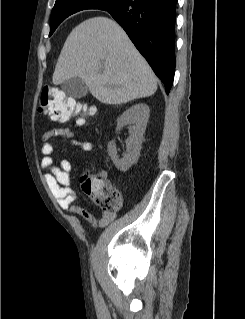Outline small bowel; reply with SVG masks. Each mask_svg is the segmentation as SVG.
<instances>
[{
    "mask_svg": "<svg viewBox=\"0 0 245 319\" xmlns=\"http://www.w3.org/2000/svg\"><path fill=\"white\" fill-rule=\"evenodd\" d=\"M55 137L67 140L71 147L78 148L82 152H90L93 148L90 141L76 138L75 134L68 128H54L45 132L42 136L41 166L48 170L44 174V180L49 190L62 209L83 217L94 226L103 227L107 225L115 219V212H102L96 216L75 202L76 193L71 187L73 165L67 158H62L58 164L54 163L51 140Z\"/></svg>",
    "mask_w": 245,
    "mask_h": 319,
    "instance_id": "obj_1",
    "label": "small bowel"
}]
</instances>
